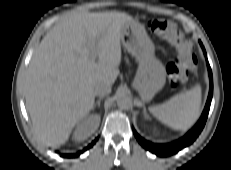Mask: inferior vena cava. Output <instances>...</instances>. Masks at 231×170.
I'll return each mask as SVG.
<instances>
[{
    "label": "inferior vena cava",
    "instance_id": "obj_1",
    "mask_svg": "<svg viewBox=\"0 0 231 170\" xmlns=\"http://www.w3.org/2000/svg\"><path fill=\"white\" fill-rule=\"evenodd\" d=\"M111 92V85L107 82H98L94 86V93L97 96L103 97Z\"/></svg>",
    "mask_w": 231,
    "mask_h": 170
}]
</instances>
